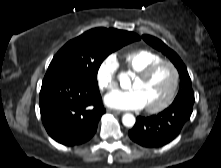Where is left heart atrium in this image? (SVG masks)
<instances>
[{"instance_id":"1","label":"left heart atrium","mask_w":221,"mask_h":168,"mask_svg":"<svg viewBox=\"0 0 221 168\" xmlns=\"http://www.w3.org/2000/svg\"><path fill=\"white\" fill-rule=\"evenodd\" d=\"M107 106L119 110H138L145 107L144 100L138 90H115L105 96Z\"/></svg>"}]
</instances>
